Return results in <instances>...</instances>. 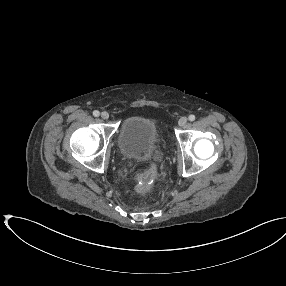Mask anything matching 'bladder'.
Instances as JSON below:
<instances>
[{
  "label": "bladder",
  "mask_w": 286,
  "mask_h": 286,
  "mask_svg": "<svg viewBox=\"0 0 286 286\" xmlns=\"http://www.w3.org/2000/svg\"><path fill=\"white\" fill-rule=\"evenodd\" d=\"M119 152L127 160L145 161L159 153L155 122L147 116H129L120 126Z\"/></svg>",
  "instance_id": "obj_1"
}]
</instances>
